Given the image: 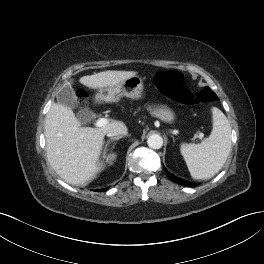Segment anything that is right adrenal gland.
<instances>
[{"label": "right adrenal gland", "mask_w": 264, "mask_h": 264, "mask_svg": "<svg viewBox=\"0 0 264 264\" xmlns=\"http://www.w3.org/2000/svg\"><path fill=\"white\" fill-rule=\"evenodd\" d=\"M122 137H123V136L113 137V138H111L110 140H108L107 143H106V145H105V151H107L108 146H109V144H110L111 142H113V141H118V140L121 139ZM114 146H115V143H114V145H113L112 148H114Z\"/></svg>", "instance_id": "right-adrenal-gland-1"}]
</instances>
